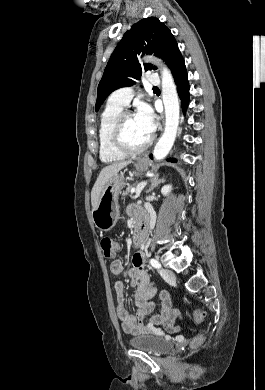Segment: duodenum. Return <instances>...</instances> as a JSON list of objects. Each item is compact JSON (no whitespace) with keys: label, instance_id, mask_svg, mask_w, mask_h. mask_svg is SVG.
<instances>
[{"label":"duodenum","instance_id":"obj_1","mask_svg":"<svg viewBox=\"0 0 265 390\" xmlns=\"http://www.w3.org/2000/svg\"><path fill=\"white\" fill-rule=\"evenodd\" d=\"M147 236V220L137 217L134 223V242L142 244Z\"/></svg>","mask_w":265,"mask_h":390}]
</instances>
